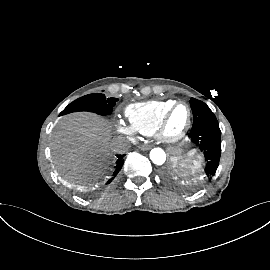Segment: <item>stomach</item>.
Instances as JSON below:
<instances>
[{"label":"stomach","mask_w":270,"mask_h":270,"mask_svg":"<svg viewBox=\"0 0 270 270\" xmlns=\"http://www.w3.org/2000/svg\"><path fill=\"white\" fill-rule=\"evenodd\" d=\"M173 157L171 158L173 167L176 171H184V166L182 165V155H181V148H174L172 149Z\"/></svg>","instance_id":"0dacf381"}]
</instances>
